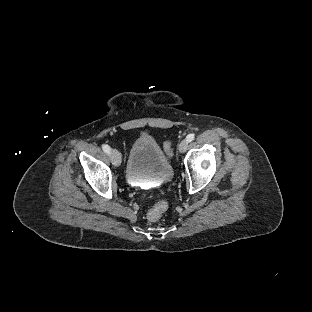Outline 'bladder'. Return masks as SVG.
Returning a JSON list of instances; mask_svg holds the SVG:
<instances>
[{"label":"bladder","mask_w":312,"mask_h":312,"mask_svg":"<svg viewBox=\"0 0 312 312\" xmlns=\"http://www.w3.org/2000/svg\"><path fill=\"white\" fill-rule=\"evenodd\" d=\"M125 174L130 178L149 177L167 180L172 176V167L169 157L155 138L150 134H144L137 137L131 146Z\"/></svg>","instance_id":"31cf9c89"}]
</instances>
